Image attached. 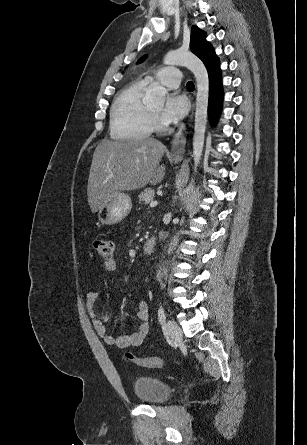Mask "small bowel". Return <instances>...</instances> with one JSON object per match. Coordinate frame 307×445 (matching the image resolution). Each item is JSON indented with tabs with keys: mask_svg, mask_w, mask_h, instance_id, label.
Segmentation results:
<instances>
[{
	"mask_svg": "<svg viewBox=\"0 0 307 445\" xmlns=\"http://www.w3.org/2000/svg\"><path fill=\"white\" fill-rule=\"evenodd\" d=\"M104 271L113 273L117 269V263L114 258L105 259L102 263ZM99 298V292L91 290L87 293V309L92 318L95 329L101 336L103 341L120 349L135 347L142 343L143 339L149 332V306L145 301L139 302L137 306V317L141 321L139 330L122 336H113L108 332L106 323L109 316H100L96 313L95 305Z\"/></svg>",
	"mask_w": 307,
	"mask_h": 445,
	"instance_id": "c3829d8e",
	"label": "small bowel"
}]
</instances>
